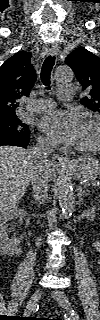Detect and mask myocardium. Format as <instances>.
<instances>
[{"instance_id":"obj_1","label":"myocardium","mask_w":100,"mask_h":320,"mask_svg":"<svg viewBox=\"0 0 100 320\" xmlns=\"http://www.w3.org/2000/svg\"><path fill=\"white\" fill-rule=\"evenodd\" d=\"M84 123L89 124L95 131L94 141L87 146H75V150L81 153H91L99 149L100 147V123L95 117H87L84 119Z\"/></svg>"}]
</instances>
